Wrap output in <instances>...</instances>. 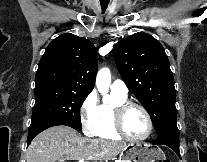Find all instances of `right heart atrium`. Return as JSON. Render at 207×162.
Returning a JSON list of instances; mask_svg holds the SVG:
<instances>
[{"label":"right heart atrium","instance_id":"right-heart-atrium-1","mask_svg":"<svg viewBox=\"0 0 207 162\" xmlns=\"http://www.w3.org/2000/svg\"><path fill=\"white\" fill-rule=\"evenodd\" d=\"M98 96L95 91H91L82 101L79 108V118L82 130L87 136L96 134L98 123Z\"/></svg>","mask_w":207,"mask_h":162}]
</instances>
